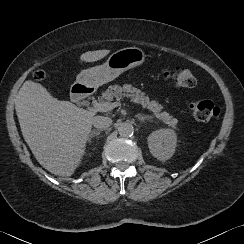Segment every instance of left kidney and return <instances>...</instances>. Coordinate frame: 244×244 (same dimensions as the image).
I'll list each match as a JSON object with an SVG mask.
<instances>
[{"mask_svg": "<svg viewBox=\"0 0 244 244\" xmlns=\"http://www.w3.org/2000/svg\"><path fill=\"white\" fill-rule=\"evenodd\" d=\"M147 141L151 154L160 161L170 159L177 147V135L172 129L153 131Z\"/></svg>", "mask_w": 244, "mask_h": 244, "instance_id": "1", "label": "left kidney"}]
</instances>
